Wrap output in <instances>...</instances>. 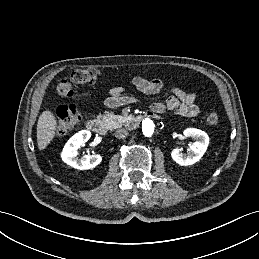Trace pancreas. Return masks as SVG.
<instances>
[{
    "instance_id": "cf45deb5",
    "label": "pancreas",
    "mask_w": 259,
    "mask_h": 259,
    "mask_svg": "<svg viewBox=\"0 0 259 259\" xmlns=\"http://www.w3.org/2000/svg\"><path fill=\"white\" fill-rule=\"evenodd\" d=\"M102 120L110 130H113L128 124L129 118L127 116L115 115L111 112L104 114Z\"/></svg>"
}]
</instances>
